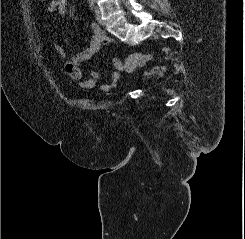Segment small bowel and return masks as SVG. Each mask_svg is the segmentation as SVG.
Masks as SVG:
<instances>
[{
	"mask_svg": "<svg viewBox=\"0 0 245 239\" xmlns=\"http://www.w3.org/2000/svg\"><path fill=\"white\" fill-rule=\"evenodd\" d=\"M67 0H51L48 4V11L64 16L66 12ZM115 44V40L105 35L103 30L96 24H91V37L85 47L78 53L69 57L64 62L65 73L73 80L79 82V86L84 89L94 88L99 81V73L92 71L88 79H83L82 71L79 65L89 60L102 47ZM57 52L60 56L65 57L64 50L57 46ZM109 63L114 67V71L110 73L109 79L100 85V89L104 92L113 90L121 81V74L125 72L124 64L116 57L110 58Z\"/></svg>",
	"mask_w": 245,
	"mask_h": 239,
	"instance_id": "small-bowel-1",
	"label": "small bowel"
}]
</instances>
